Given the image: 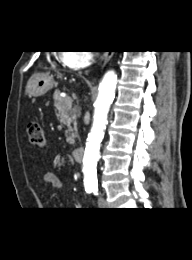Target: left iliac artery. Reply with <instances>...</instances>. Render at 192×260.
<instances>
[{"mask_svg":"<svg viewBox=\"0 0 192 260\" xmlns=\"http://www.w3.org/2000/svg\"><path fill=\"white\" fill-rule=\"evenodd\" d=\"M97 191H98L97 187L93 188V192L95 195L97 194Z\"/></svg>","mask_w":192,"mask_h":260,"instance_id":"44dca946","label":"left iliac artery"}]
</instances>
